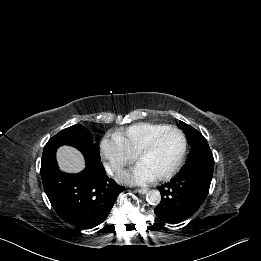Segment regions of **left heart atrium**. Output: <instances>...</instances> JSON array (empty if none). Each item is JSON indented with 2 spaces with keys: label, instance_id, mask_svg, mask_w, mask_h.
<instances>
[{
  "label": "left heart atrium",
  "instance_id": "left-heart-atrium-1",
  "mask_svg": "<svg viewBox=\"0 0 261 261\" xmlns=\"http://www.w3.org/2000/svg\"><path fill=\"white\" fill-rule=\"evenodd\" d=\"M155 177L143 164L138 163L130 172L125 174L124 179L137 185H143L153 181Z\"/></svg>",
  "mask_w": 261,
  "mask_h": 261
}]
</instances>
